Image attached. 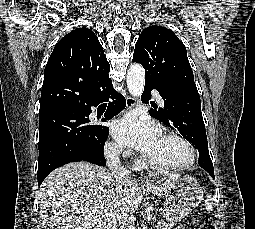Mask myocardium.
<instances>
[{"label":"myocardium","instance_id":"f54148a6","mask_svg":"<svg viewBox=\"0 0 255 229\" xmlns=\"http://www.w3.org/2000/svg\"><path fill=\"white\" fill-rule=\"evenodd\" d=\"M163 136L167 137V138L175 139L178 142H180L181 144H183L189 152V159L183 164L169 165V164H164L161 162L150 160L149 158H147L144 155L142 162L146 166L151 167L156 170H161V171L179 172V171H184L186 169H189L190 167H192L195 164L196 159H197L196 150H195L193 144L185 136H183L180 133L171 132V131L163 133Z\"/></svg>","mask_w":255,"mask_h":229}]
</instances>
